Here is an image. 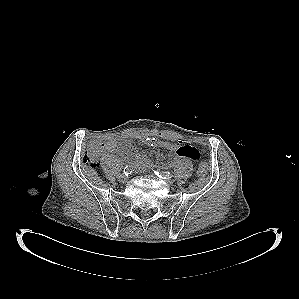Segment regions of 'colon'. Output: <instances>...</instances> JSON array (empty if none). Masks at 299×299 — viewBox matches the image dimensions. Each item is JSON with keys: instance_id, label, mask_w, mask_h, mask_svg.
I'll return each instance as SVG.
<instances>
[{"instance_id": "5ec220e1", "label": "colon", "mask_w": 299, "mask_h": 299, "mask_svg": "<svg viewBox=\"0 0 299 299\" xmlns=\"http://www.w3.org/2000/svg\"><path fill=\"white\" fill-rule=\"evenodd\" d=\"M103 149H104V142L98 140L92 141L89 144L87 151L85 153L84 163L92 167H98L99 166L98 159ZM207 171H208L207 164L205 162H200L198 164L197 174L201 177H204L207 174Z\"/></svg>"}]
</instances>
